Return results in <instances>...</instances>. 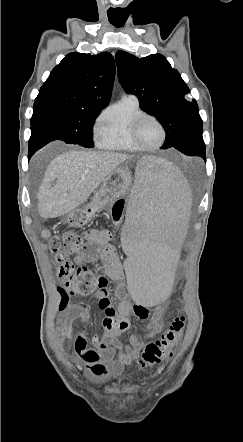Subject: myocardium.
<instances>
[{
    "mask_svg": "<svg viewBox=\"0 0 243 442\" xmlns=\"http://www.w3.org/2000/svg\"><path fill=\"white\" fill-rule=\"evenodd\" d=\"M145 119L154 120L159 125V127L162 131L161 140L159 141L158 144H156L154 146H147V145L143 144L138 137L139 125ZM130 134H131V139H132L133 143L141 150H146V151H153V150L159 149L165 143L166 138H167V130H166L164 123L161 121V119L154 114L146 113V112L135 118V120L133 121V123L131 125Z\"/></svg>",
    "mask_w": 243,
    "mask_h": 442,
    "instance_id": "1",
    "label": "myocardium"
}]
</instances>
